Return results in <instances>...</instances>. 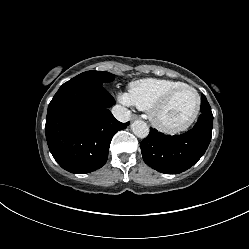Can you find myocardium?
<instances>
[{
	"instance_id": "1",
	"label": "myocardium",
	"mask_w": 249,
	"mask_h": 249,
	"mask_svg": "<svg viewBox=\"0 0 249 249\" xmlns=\"http://www.w3.org/2000/svg\"><path fill=\"white\" fill-rule=\"evenodd\" d=\"M188 89L191 90L196 96V105L191 114V116L182 124L176 126H168L163 124L158 119V113L170 102L172 97L180 90ZM201 108V97L199 92L191 85L182 84L170 89L166 92L159 100H157L150 108H149V119L151 123L158 128L160 131L168 133V134H176L180 133L187 128H189L194 121L196 120Z\"/></svg>"
}]
</instances>
